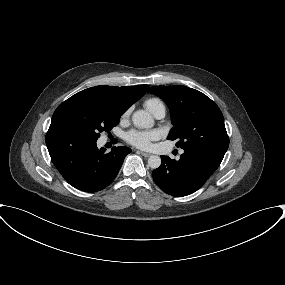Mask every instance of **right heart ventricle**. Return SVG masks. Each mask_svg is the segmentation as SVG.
I'll list each match as a JSON object with an SVG mask.
<instances>
[{"label":"right heart ventricle","instance_id":"right-heart-ventricle-1","mask_svg":"<svg viewBox=\"0 0 285 285\" xmlns=\"http://www.w3.org/2000/svg\"><path fill=\"white\" fill-rule=\"evenodd\" d=\"M144 105L150 112L158 106H164L162 101L155 97L146 99Z\"/></svg>","mask_w":285,"mask_h":285}]
</instances>
